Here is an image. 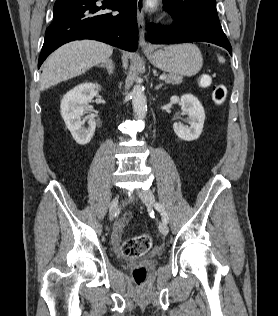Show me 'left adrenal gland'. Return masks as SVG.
<instances>
[{"label":"left adrenal gland","mask_w":278,"mask_h":316,"mask_svg":"<svg viewBox=\"0 0 278 316\" xmlns=\"http://www.w3.org/2000/svg\"><path fill=\"white\" fill-rule=\"evenodd\" d=\"M162 86L163 84H159L158 86L155 87V90H159Z\"/></svg>","instance_id":"obj_1"}]
</instances>
